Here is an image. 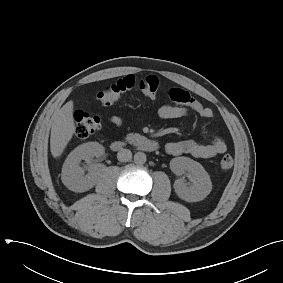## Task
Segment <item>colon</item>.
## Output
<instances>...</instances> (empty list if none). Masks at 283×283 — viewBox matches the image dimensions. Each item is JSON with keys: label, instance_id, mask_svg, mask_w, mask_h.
I'll return each instance as SVG.
<instances>
[{"label": "colon", "instance_id": "obj_1", "mask_svg": "<svg viewBox=\"0 0 283 283\" xmlns=\"http://www.w3.org/2000/svg\"><path fill=\"white\" fill-rule=\"evenodd\" d=\"M159 88V80L155 76H147L137 80L133 75H128L117 82L105 87L98 92V98L104 105H112L120 96L130 90L139 89L147 96H154ZM75 135L84 139L96 133L102 125L100 117L78 110L74 114ZM233 166L232 156L226 154L220 160V168L223 171Z\"/></svg>", "mask_w": 283, "mask_h": 283}]
</instances>
